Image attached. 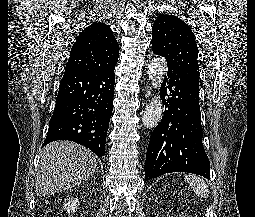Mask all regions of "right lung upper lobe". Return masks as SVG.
I'll return each instance as SVG.
<instances>
[{"label":"right lung upper lobe","instance_id":"right-lung-upper-lobe-1","mask_svg":"<svg viewBox=\"0 0 255 217\" xmlns=\"http://www.w3.org/2000/svg\"><path fill=\"white\" fill-rule=\"evenodd\" d=\"M118 43L109 26L95 22L86 27L71 48L65 72L106 71L115 67Z\"/></svg>","mask_w":255,"mask_h":217}]
</instances>
